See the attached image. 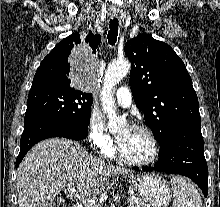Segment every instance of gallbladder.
Listing matches in <instances>:
<instances>
[{
    "mask_svg": "<svg viewBox=\"0 0 220 207\" xmlns=\"http://www.w3.org/2000/svg\"><path fill=\"white\" fill-rule=\"evenodd\" d=\"M53 207H59V205H57V204H54V205H53Z\"/></svg>",
    "mask_w": 220,
    "mask_h": 207,
    "instance_id": "gallbladder-1",
    "label": "gallbladder"
}]
</instances>
